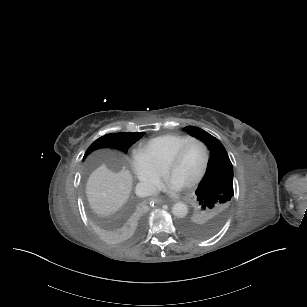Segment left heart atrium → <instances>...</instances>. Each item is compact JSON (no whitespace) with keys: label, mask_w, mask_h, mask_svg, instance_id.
<instances>
[{"label":"left heart atrium","mask_w":307,"mask_h":307,"mask_svg":"<svg viewBox=\"0 0 307 307\" xmlns=\"http://www.w3.org/2000/svg\"><path fill=\"white\" fill-rule=\"evenodd\" d=\"M183 188L184 185L169 177H167L164 181L158 182L152 186L154 191L162 190L169 193L181 191Z\"/></svg>","instance_id":"1"}]
</instances>
